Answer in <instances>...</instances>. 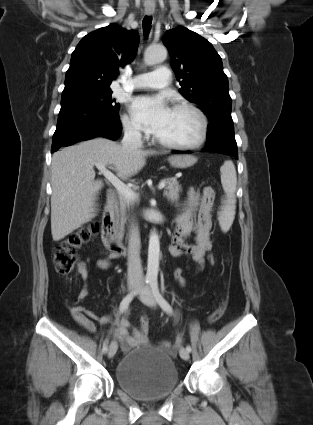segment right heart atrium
Instances as JSON below:
<instances>
[{"label":"right heart atrium","mask_w":313,"mask_h":425,"mask_svg":"<svg viewBox=\"0 0 313 425\" xmlns=\"http://www.w3.org/2000/svg\"><path fill=\"white\" fill-rule=\"evenodd\" d=\"M122 124L124 131L127 135L133 138H141V132L139 127L136 125L134 120L130 118L128 115H124L122 118Z\"/></svg>","instance_id":"1"}]
</instances>
